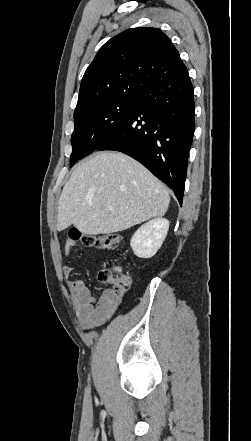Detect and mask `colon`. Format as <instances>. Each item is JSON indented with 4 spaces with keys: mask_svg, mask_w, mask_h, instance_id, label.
Wrapping results in <instances>:
<instances>
[{
    "mask_svg": "<svg viewBox=\"0 0 251 441\" xmlns=\"http://www.w3.org/2000/svg\"><path fill=\"white\" fill-rule=\"evenodd\" d=\"M69 240L81 241L85 246L96 247L104 250H115L122 243L121 236L117 234H84L76 228L69 231ZM99 278L104 283L118 291H126L131 285L132 277L129 271L120 266L104 268L99 272Z\"/></svg>",
    "mask_w": 251,
    "mask_h": 441,
    "instance_id": "colon-1",
    "label": "colon"
}]
</instances>
